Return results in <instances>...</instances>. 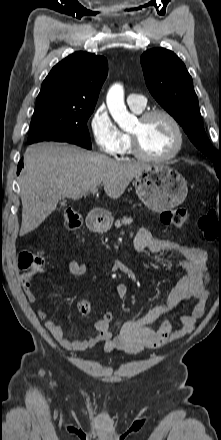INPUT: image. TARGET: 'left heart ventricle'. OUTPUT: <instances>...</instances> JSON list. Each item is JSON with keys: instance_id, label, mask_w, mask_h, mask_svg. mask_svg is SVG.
Segmentation results:
<instances>
[{"instance_id": "1", "label": "left heart ventricle", "mask_w": 221, "mask_h": 440, "mask_svg": "<svg viewBox=\"0 0 221 440\" xmlns=\"http://www.w3.org/2000/svg\"><path fill=\"white\" fill-rule=\"evenodd\" d=\"M131 133L136 135L145 153L156 157L169 154L176 144L174 128L163 116H155L144 122L138 120Z\"/></svg>"}]
</instances>
